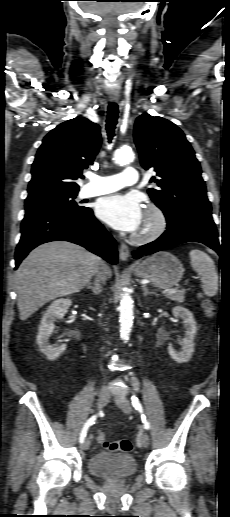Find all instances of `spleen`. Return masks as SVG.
I'll use <instances>...</instances> for the list:
<instances>
[{"label": "spleen", "mask_w": 230, "mask_h": 517, "mask_svg": "<svg viewBox=\"0 0 230 517\" xmlns=\"http://www.w3.org/2000/svg\"><path fill=\"white\" fill-rule=\"evenodd\" d=\"M191 266L201 277V287L205 295L212 297L218 291V273L214 261L201 250L189 252Z\"/></svg>", "instance_id": "spleen-1"}]
</instances>
